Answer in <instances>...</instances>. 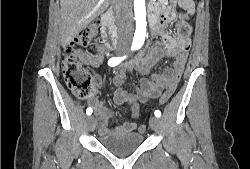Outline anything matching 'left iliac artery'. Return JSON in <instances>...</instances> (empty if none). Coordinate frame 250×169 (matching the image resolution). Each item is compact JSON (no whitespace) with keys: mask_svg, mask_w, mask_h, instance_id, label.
Wrapping results in <instances>:
<instances>
[{"mask_svg":"<svg viewBox=\"0 0 250 169\" xmlns=\"http://www.w3.org/2000/svg\"><path fill=\"white\" fill-rule=\"evenodd\" d=\"M154 114H155L156 117H160L161 116V112L159 110H156L154 112Z\"/></svg>","mask_w":250,"mask_h":169,"instance_id":"1","label":"left iliac artery"}]
</instances>
